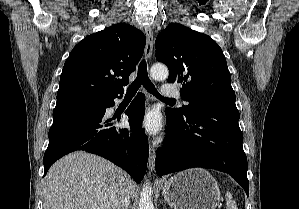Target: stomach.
Masks as SVG:
<instances>
[{
	"mask_svg": "<svg viewBox=\"0 0 299 209\" xmlns=\"http://www.w3.org/2000/svg\"><path fill=\"white\" fill-rule=\"evenodd\" d=\"M162 195L173 209H215L221 201L215 178L202 168L171 177L162 186Z\"/></svg>",
	"mask_w": 299,
	"mask_h": 209,
	"instance_id": "0dacf381",
	"label": "stomach"
}]
</instances>
